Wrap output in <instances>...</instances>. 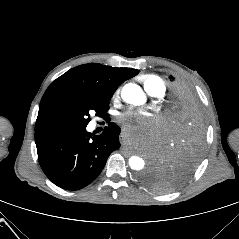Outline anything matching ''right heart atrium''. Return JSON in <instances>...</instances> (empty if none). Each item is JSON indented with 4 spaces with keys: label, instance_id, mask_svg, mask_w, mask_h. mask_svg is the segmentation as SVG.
I'll list each match as a JSON object with an SVG mask.
<instances>
[{
    "label": "right heart atrium",
    "instance_id": "obj_1",
    "mask_svg": "<svg viewBox=\"0 0 239 239\" xmlns=\"http://www.w3.org/2000/svg\"><path fill=\"white\" fill-rule=\"evenodd\" d=\"M119 93H120V89H116L113 93V98L118 97Z\"/></svg>",
    "mask_w": 239,
    "mask_h": 239
}]
</instances>
